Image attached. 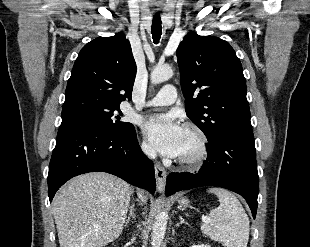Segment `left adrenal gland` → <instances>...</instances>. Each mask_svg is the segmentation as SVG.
<instances>
[{"label": "left adrenal gland", "mask_w": 310, "mask_h": 247, "mask_svg": "<svg viewBox=\"0 0 310 247\" xmlns=\"http://www.w3.org/2000/svg\"><path fill=\"white\" fill-rule=\"evenodd\" d=\"M180 222L177 224V226H179V224H188L187 222L184 221V219L182 218V216H179Z\"/></svg>", "instance_id": "left-adrenal-gland-1"}]
</instances>
